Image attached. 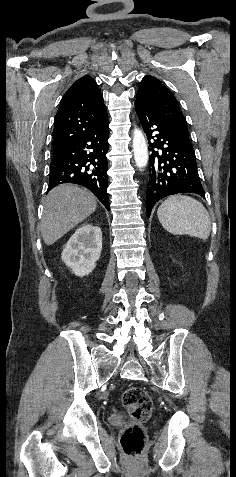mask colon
<instances>
[{
  "mask_svg": "<svg viewBox=\"0 0 236 477\" xmlns=\"http://www.w3.org/2000/svg\"><path fill=\"white\" fill-rule=\"evenodd\" d=\"M122 403L134 422L123 429L120 442L125 454L137 459L142 455L145 444V433L140 424L150 417L153 402L143 388L132 386L124 390Z\"/></svg>",
  "mask_w": 236,
  "mask_h": 477,
  "instance_id": "colon-1",
  "label": "colon"
}]
</instances>
